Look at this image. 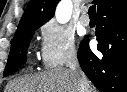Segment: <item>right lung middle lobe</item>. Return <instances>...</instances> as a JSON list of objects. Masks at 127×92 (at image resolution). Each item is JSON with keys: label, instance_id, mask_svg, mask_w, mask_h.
<instances>
[{"label": "right lung middle lobe", "instance_id": "1", "mask_svg": "<svg viewBox=\"0 0 127 92\" xmlns=\"http://www.w3.org/2000/svg\"><path fill=\"white\" fill-rule=\"evenodd\" d=\"M42 25L32 26L13 38L4 76L12 73L26 62V51L35 30Z\"/></svg>", "mask_w": 127, "mask_h": 92}]
</instances>
